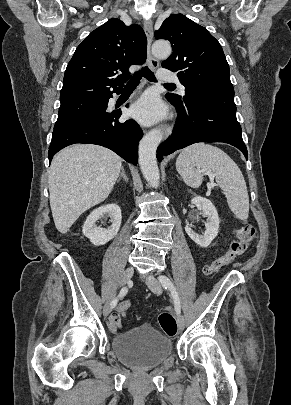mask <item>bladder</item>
Listing matches in <instances>:
<instances>
[{"instance_id": "1", "label": "bladder", "mask_w": 291, "mask_h": 405, "mask_svg": "<svg viewBox=\"0 0 291 405\" xmlns=\"http://www.w3.org/2000/svg\"><path fill=\"white\" fill-rule=\"evenodd\" d=\"M111 347L121 362L136 369L159 366L173 351L170 338L148 325L137 326L115 335L111 340Z\"/></svg>"}]
</instances>
